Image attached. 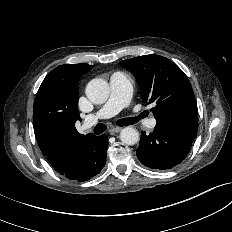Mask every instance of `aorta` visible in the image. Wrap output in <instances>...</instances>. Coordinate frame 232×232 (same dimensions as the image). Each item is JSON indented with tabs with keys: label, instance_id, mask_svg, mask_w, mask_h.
<instances>
[{
	"label": "aorta",
	"instance_id": "aorta-1",
	"mask_svg": "<svg viewBox=\"0 0 232 232\" xmlns=\"http://www.w3.org/2000/svg\"><path fill=\"white\" fill-rule=\"evenodd\" d=\"M109 84L101 79H92L86 86V96L94 104H103L109 98ZM120 140L127 145H134L139 140V132L133 127H125L120 132Z\"/></svg>",
	"mask_w": 232,
	"mask_h": 232
}]
</instances>
